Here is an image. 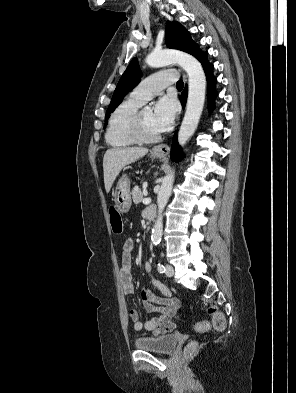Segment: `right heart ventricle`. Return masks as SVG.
I'll return each mask as SVG.
<instances>
[{"label": "right heart ventricle", "mask_w": 296, "mask_h": 393, "mask_svg": "<svg viewBox=\"0 0 296 393\" xmlns=\"http://www.w3.org/2000/svg\"><path fill=\"white\" fill-rule=\"evenodd\" d=\"M140 106L141 104L128 98L114 109L105 133V140L109 146L126 148L137 143L131 137L130 127Z\"/></svg>", "instance_id": "e07e8e85"}]
</instances>
